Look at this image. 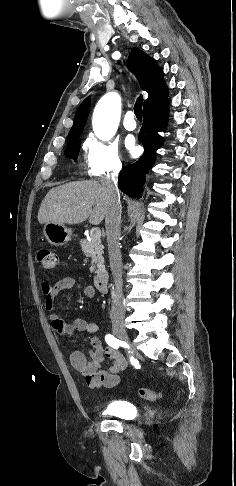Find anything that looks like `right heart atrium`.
<instances>
[{
    "instance_id": "obj_1",
    "label": "right heart atrium",
    "mask_w": 236,
    "mask_h": 486,
    "mask_svg": "<svg viewBox=\"0 0 236 486\" xmlns=\"http://www.w3.org/2000/svg\"><path fill=\"white\" fill-rule=\"evenodd\" d=\"M84 163L87 174L101 178L118 173L123 167V160L118 145L89 136L83 144Z\"/></svg>"
}]
</instances>
